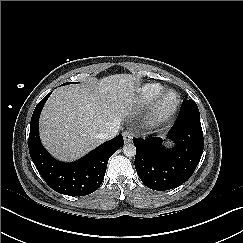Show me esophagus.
<instances>
[{
  "label": "esophagus",
  "instance_id": "34e87169",
  "mask_svg": "<svg viewBox=\"0 0 243 243\" xmlns=\"http://www.w3.org/2000/svg\"><path fill=\"white\" fill-rule=\"evenodd\" d=\"M133 137H134L133 132L128 131V130L123 132V140L125 143H130L132 141Z\"/></svg>",
  "mask_w": 243,
  "mask_h": 243
}]
</instances>
